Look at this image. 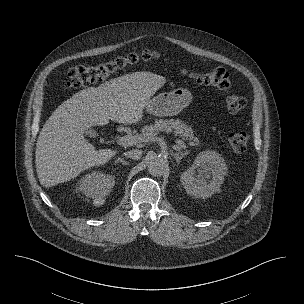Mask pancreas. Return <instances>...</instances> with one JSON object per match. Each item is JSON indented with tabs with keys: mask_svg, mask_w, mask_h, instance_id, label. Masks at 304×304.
Wrapping results in <instances>:
<instances>
[{
	"mask_svg": "<svg viewBox=\"0 0 304 304\" xmlns=\"http://www.w3.org/2000/svg\"><path fill=\"white\" fill-rule=\"evenodd\" d=\"M162 131L167 133L174 132L175 135L181 137L183 140H189V144L192 146H200L201 144L200 140L194 137L193 129L179 119H156L154 124L146 125L142 128L141 137L148 139Z\"/></svg>",
	"mask_w": 304,
	"mask_h": 304,
	"instance_id": "pancreas-1",
	"label": "pancreas"
}]
</instances>
